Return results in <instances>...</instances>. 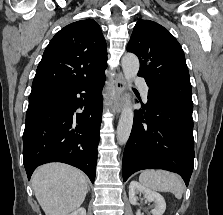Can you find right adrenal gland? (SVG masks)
<instances>
[{"mask_svg":"<svg viewBox=\"0 0 223 215\" xmlns=\"http://www.w3.org/2000/svg\"><path fill=\"white\" fill-rule=\"evenodd\" d=\"M88 191H90V187H87V193H88Z\"/></svg>","mask_w":223,"mask_h":215,"instance_id":"obj_1","label":"right adrenal gland"}]
</instances>
